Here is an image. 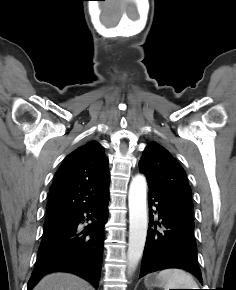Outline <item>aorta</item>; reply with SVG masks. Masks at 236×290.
<instances>
[{"mask_svg":"<svg viewBox=\"0 0 236 290\" xmlns=\"http://www.w3.org/2000/svg\"><path fill=\"white\" fill-rule=\"evenodd\" d=\"M146 189V179L142 175L135 176L129 187V243L127 251L129 274L136 269L146 242L148 229Z\"/></svg>","mask_w":236,"mask_h":290,"instance_id":"762f6f07","label":"aorta"}]
</instances>
